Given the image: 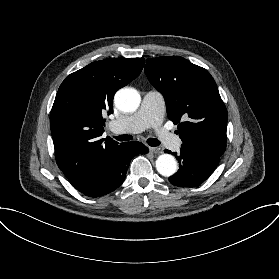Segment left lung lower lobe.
<instances>
[{"instance_id": "left-lung-lower-lobe-1", "label": "left lung lower lobe", "mask_w": 279, "mask_h": 279, "mask_svg": "<svg viewBox=\"0 0 279 279\" xmlns=\"http://www.w3.org/2000/svg\"><path fill=\"white\" fill-rule=\"evenodd\" d=\"M175 155L180 168L169 178L171 184L179 187H195L203 183L214 171L220 161V156L200 149L181 148Z\"/></svg>"}]
</instances>
